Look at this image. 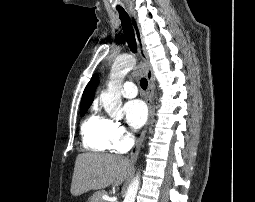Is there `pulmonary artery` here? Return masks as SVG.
Returning <instances> with one entry per match:
<instances>
[{
	"label": "pulmonary artery",
	"mask_w": 255,
	"mask_h": 202,
	"mask_svg": "<svg viewBox=\"0 0 255 202\" xmlns=\"http://www.w3.org/2000/svg\"><path fill=\"white\" fill-rule=\"evenodd\" d=\"M122 95L126 98H133L137 95V87L133 82H126L122 88Z\"/></svg>",
	"instance_id": "e3ab8cb5"
}]
</instances>
